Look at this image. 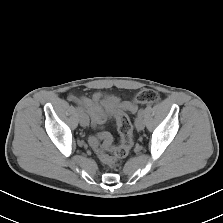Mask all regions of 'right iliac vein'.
Instances as JSON below:
<instances>
[{
	"mask_svg": "<svg viewBox=\"0 0 223 223\" xmlns=\"http://www.w3.org/2000/svg\"><path fill=\"white\" fill-rule=\"evenodd\" d=\"M80 124L82 127H87L89 125V117L84 112H80Z\"/></svg>",
	"mask_w": 223,
	"mask_h": 223,
	"instance_id": "right-iliac-vein-1",
	"label": "right iliac vein"
}]
</instances>
